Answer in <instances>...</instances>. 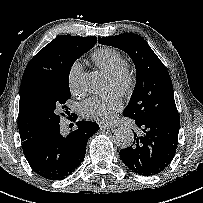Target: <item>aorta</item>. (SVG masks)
Returning a JSON list of instances; mask_svg holds the SVG:
<instances>
[{
    "label": "aorta",
    "mask_w": 203,
    "mask_h": 203,
    "mask_svg": "<svg viewBox=\"0 0 203 203\" xmlns=\"http://www.w3.org/2000/svg\"><path fill=\"white\" fill-rule=\"evenodd\" d=\"M81 86L85 91L96 93L101 88V80L96 73L87 72L81 78ZM133 140L134 135L129 128L120 127L114 133V142L120 148L131 146Z\"/></svg>",
    "instance_id": "aorta-1"
}]
</instances>
